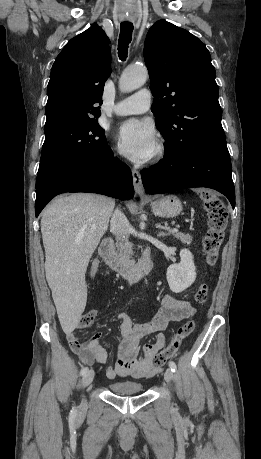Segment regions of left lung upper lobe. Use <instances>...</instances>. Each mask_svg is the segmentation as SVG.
Listing matches in <instances>:
<instances>
[{
	"label": "left lung upper lobe",
	"instance_id": "left-lung-upper-lobe-1",
	"mask_svg": "<svg viewBox=\"0 0 261 459\" xmlns=\"http://www.w3.org/2000/svg\"><path fill=\"white\" fill-rule=\"evenodd\" d=\"M144 59L165 153L181 157L200 145L226 141L216 71L206 46L188 31L160 20L147 33Z\"/></svg>",
	"mask_w": 261,
	"mask_h": 459
}]
</instances>
